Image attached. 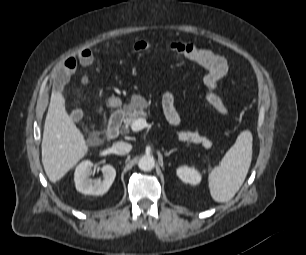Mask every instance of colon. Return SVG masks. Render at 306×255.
Masks as SVG:
<instances>
[{
    "label": "colon",
    "mask_w": 306,
    "mask_h": 255,
    "mask_svg": "<svg viewBox=\"0 0 306 255\" xmlns=\"http://www.w3.org/2000/svg\"><path fill=\"white\" fill-rule=\"evenodd\" d=\"M132 48L136 53H144L148 51L149 44L144 40H138L133 44ZM170 48L207 71L203 80L206 88V100L220 115L229 117L230 111L217 93L218 82L228 70L226 60L212 51L200 48L191 42H173L170 44Z\"/></svg>",
    "instance_id": "1"
}]
</instances>
